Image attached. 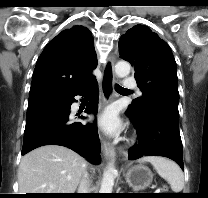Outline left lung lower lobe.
Here are the masks:
<instances>
[{
    "label": "left lung lower lobe",
    "mask_w": 208,
    "mask_h": 198,
    "mask_svg": "<svg viewBox=\"0 0 208 198\" xmlns=\"http://www.w3.org/2000/svg\"><path fill=\"white\" fill-rule=\"evenodd\" d=\"M130 119L136 128L138 142L129 150V160L163 156L184 169L178 119L158 108L148 110L139 120Z\"/></svg>",
    "instance_id": "1"
}]
</instances>
